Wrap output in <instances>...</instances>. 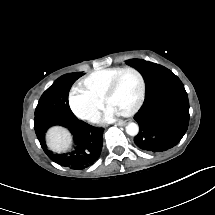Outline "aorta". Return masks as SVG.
I'll list each match as a JSON object with an SVG mask.
<instances>
[{
	"instance_id": "762f6f07",
	"label": "aorta",
	"mask_w": 215,
	"mask_h": 215,
	"mask_svg": "<svg viewBox=\"0 0 215 215\" xmlns=\"http://www.w3.org/2000/svg\"><path fill=\"white\" fill-rule=\"evenodd\" d=\"M126 132L128 135L130 136H135L138 134L139 132V127L136 123H129L127 126H126Z\"/></svg>"
}]
</instances>
